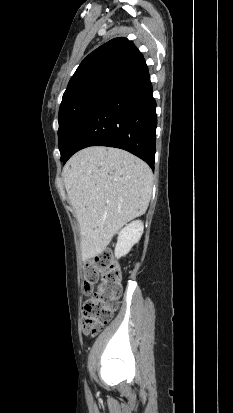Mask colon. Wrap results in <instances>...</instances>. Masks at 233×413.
Masks as SVG:
<instances>
[{"instance_id":"colon-1","label":"colon","mask_w":233,"mask_h":413,"mask_svg":"<svg viewBox=\"0 0 233 413\" xmlns=\"http://www.w3.org/2000/svg\"><path fill=\"white\" fill-rule=\"evenodd\" d=\"M95 292L83 308L82 331L97 334L112 318L121 296V270L110 251L106 250L86 262L84 266V291Z\"/></svg>"}]
</instances>
